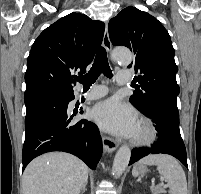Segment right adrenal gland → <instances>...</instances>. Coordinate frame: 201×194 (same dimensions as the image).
Here are the masks:
<instances>
[{
    "label": "right adrenal gland",
    "mask_w": 201,
    "mask_h": 194,
    "mask_svg": "<svg viewBox=\"0 0 201 194\" xmlns=\"http://www.w3.org/2000/svg\"><path fill=\"white\" fill-rule=\"evenodd\" d=\"M85 191H86V185L81 189V194H84Z\"/></svg>",
    "instance_id": "2a0ac1e0"
}]
</instances>
